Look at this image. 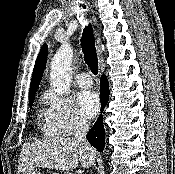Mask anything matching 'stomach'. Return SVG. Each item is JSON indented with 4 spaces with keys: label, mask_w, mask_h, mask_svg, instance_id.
Instances as JSON below:
<instances>
[{
    "label": "stomach",
    "mask_w": 175,
    "mask_h": 174,
    "mask_svg": "<svg viewBox=\"0 0 175 174\" xmlns=\"http://www.w3.org/2000/svg\"><path fill=\"white\" fill-rule=\"evenodd\" d=\"M22 174H41V173L35 169H29V170H26L25 172H23ZM56 174H58V173H56Z\"/></svg>",
    "instance_id": "0dacf381"
}]
</instances>
